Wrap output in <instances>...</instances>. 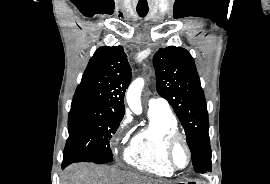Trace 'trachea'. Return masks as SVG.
Wrapping results in <instances>:
<instances>
[{
	"mask_svg": "<svg viewBox=\"0 0 270 184\" xmlns=\"http://www.w3.org/2000/svg\"><path fill=\"white\" fill-rule=\"evenodd\" d=\"M137 13L140 17H145L148 13V9H137Z\"/></svg>",
	"mask_w": 270,
	"mask_h": 184,
	"instance_id": "obj_1",
	"label": "trachea"
}]
</instances>
